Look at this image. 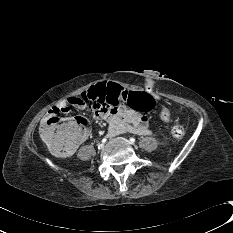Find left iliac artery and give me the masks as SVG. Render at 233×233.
<instances>
[{
	"label": "left iliac artery",
	"mask_w": 233,
	"mask_h": 233,
	"mask_svg": "<svg viewBox=\"0 0 233 233\" xmlns=\"http://www.w3.org/2000/svg\"><path fill=\"white\" fill-rule=\"evenodd\" d=\"M135 141H136L135 138H130V143H131V144H134Z\"/></svg>",
	"instance_id": "left-iliac-artery-1"
}]
</instances>
